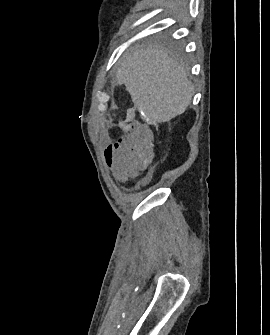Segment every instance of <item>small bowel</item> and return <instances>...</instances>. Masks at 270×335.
<instances>
[{"mask_svg": "<svg viewBox=\"0 0 270 335\" xmlns=\"http://www.w3.org/2000/svg\"><path fill=\"white\" fill-rule=\"evenodd\" d=\"M143 121H128L125 134H137L132 138L129 135H120L121 144H97V151H105L99 155V160L105 165H114L115 178H136L138 169H145L151 164L150 158L158 156L159 150L152 149L154 140L149 130L144 129ZM118 165V166H117Z\"/></svg>", "mask_w": 270, "mask_h": 335, "instance_id": "c3829d8e", "label": "small bowel"}]
</instances>
